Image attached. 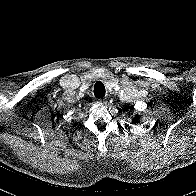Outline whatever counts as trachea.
Segmentation results:
<instances>
[{
	"label": "trachea",
	"instance_id": "3493384b",
	"mask_svg": "<svg viewBox=\"0 0 196 196\" xmlns=\"http://www.w3.org/2000/svg\"><path fill=\"white\" fill-rule=\"evenodd\" d=\"M105 87L102 82L97 81L94 86V95L96 98H103L105 96Z\"/></svg>",
	"mask_w": 196,
	"mask_h": 196
}]
</instances>
